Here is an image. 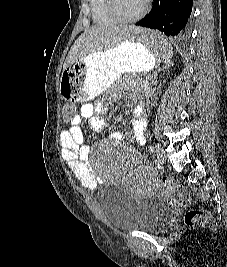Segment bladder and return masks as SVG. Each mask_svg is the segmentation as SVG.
Here are the masks:
<instances>
[{
  "label": "bladder",
  "mask_w": 227,
  "mask_h": 267,
  "mask_svg": "<svg viewBox=\"0 0 227 267\" xmlns=\"http://www.w3.org/2000/svg\"><path fill=\"white\" fill-rule=\"evenodd\" d=\"M99 203L110 225L122 230L157 233L170 219L168 206L154 195H134L114 184L99 195Z\"/></svg>",
  "instance_id": "31cf9c89"
}]
</instances>
